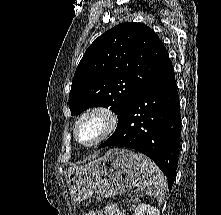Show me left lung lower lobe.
<instances>
[{
    "instance_id": "0a47b994",
    "label": "left lung lower lobe",
    "mask_w": 221,
    "mask_h": 215,
    "mask_svg": "<svg viewBox=\"0 0 221 215\" xmlns=\"http://www.w3.org/2000/svg\"><path fill=\"white\" fill-rule=\"evenodd\" d=\"M178 98L169 60L157 77L136 95L119 118L113 135L98 148L124 146L142 152L166 175L171 190L180 139Z\"/></svg>"
}]
</instances>
